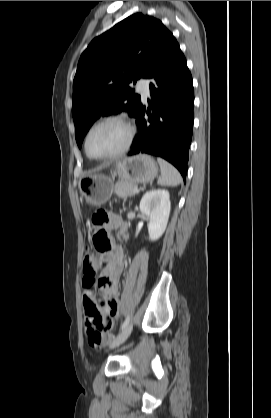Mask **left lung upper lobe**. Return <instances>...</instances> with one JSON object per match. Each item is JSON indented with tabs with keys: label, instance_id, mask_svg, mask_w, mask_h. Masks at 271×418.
I'll return each instance as SVG.
<instances>
[{
	"label": "left lung upper lobe",
	"instance_id": "1",
	"mask_svg": "<svg viewBox=\"0 0 271 418\" xmlns=\"http://www.w3.org/2000/svg\"><path fill=\"white\" fill-rule=\"evenodd\" d=\"M173 37L160 20L135 13L89 44L73 81L72 115L79 148L101 115L127 111L135 116L141 98L129 84L151 77Z\"/></svg>",
	"mask_w": 271,
	"mask_h": 418
}]
</instances>
